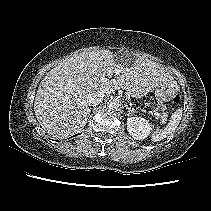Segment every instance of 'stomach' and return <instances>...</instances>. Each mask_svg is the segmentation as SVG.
Masks as SVG:
<instances>
[{"label": "stomach", "instance_id": "stomach-1", "mask_svg": "<svg viewBox=\"0 0 211 211\" xmlns=\"http://www.w3.org/2000/svg\"><path fill=\"white\" fill-rule=\"evenodd\" d=\"M118 54H117L116 60L120 62L122 65L129 66L130 63L133 62V58L130 55H127V54L125 55L124 53H120L121 56H118ZM154 90H155V96L158 103L162 104L163 102L170 100L176 95L178 86L174 81H171V82L158 85L157 87L154 88ZM129 94L132 97L141 98L144 95H146L147 92L145 88H137V89L130 90Z\"/></svg>", "mask_w": 211, "mask_h": 211}]
</instances>
